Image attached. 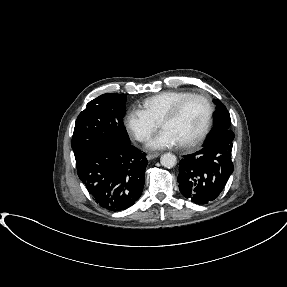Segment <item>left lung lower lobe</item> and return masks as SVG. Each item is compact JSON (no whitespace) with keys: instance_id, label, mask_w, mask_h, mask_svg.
<instances>
[{"instance_id":"obj_1","label":"left lung lower lobe","mask_w":287,"mask_h":287,"mask_svg":"<svg viewBox=\"0 0 287 287\" xmlns=\"http://www.w3.org/2000/svg\"><path fill=\"white\" fill-rule=\"evenodd\" d=\"M233 140L234 133L227 130L205 142L196 153L183 156L177 181L184 197L207 204L220 195L233 172Z\"/></svg>"}]
</instances>
